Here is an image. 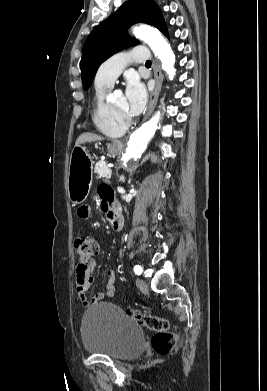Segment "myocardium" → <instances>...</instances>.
<instances>
[{
    "mask_svg": "<svg viewBox=\"0 0 267 391\" xmlns=\"http://www.w3.org/2000/svg\"><path fill=\"white\" fill-rule=\"evenodd\" d=\"M110 111L113 115V117L116 119L118 123H120L123 126H128L132 122V118L130 116H127L123 114L122 112L118 111L115 107L112 105H109Z\"/></svg>",
    "mask_w": 267,
    "mask_h": 391,
    "instance_id": "obj_1",
    "label": "myocardium"
}]
</instances>
